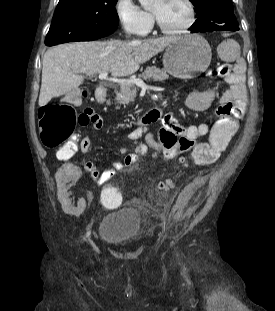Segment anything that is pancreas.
<instances>
[{
	"label": "pancreas",
	"instance_id": "obj_1",
	"mask_svg": "<svg viewBox=\"0 0 275 311\" xmlns=\"http://www.w3.org/2000/svg\"><path fill=\"white\" fill-rule=\"evenodd\" d=\"M168 78V74L157 67H148L141 75L138 76V79H153L154 81H164ZM136 93L137 90L134 84L129 83L121 85L116 96L117 103L125 106L126 104L133 102L136 97Z\"/></svg>",
	"mask_w": 275,
	"mask_h": 311
}]
</instances>
